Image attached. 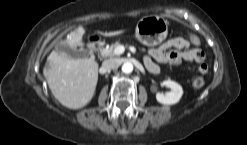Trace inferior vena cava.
<instances>
[{
  "label": "inferior vena cava",
  "mask_w": 247,
  "mask_h": 145,
  "mask_svg": "<svg viewBox=\"0 0 247 145\" xmlns=\"http://www.w3.org/2000/svg\"><path fill=\"white\" fill-rule=\"evenodd\" d=\"M119 67V62L117 59H107L102 63V69L104 71H110L112 69H117Z\"/></svg>",
  "instance_id": "obj_1"
}]
</instances>
